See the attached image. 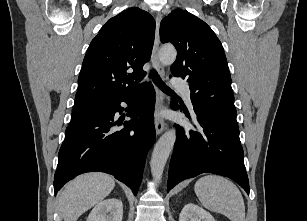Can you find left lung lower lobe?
Returning a JSON list of instances; mask_svg holds the SVG:
<instances>
[{
	"label": "left lung lower lobe",
	"instance_id": "left-lung-lower-lobe-1",
	"mask_svg": "<svg viewBox=\"0 0 307 221\" xmlns=\"http://www.w3.org/2000/svg\"><path fill=\"white\" fill-rule=\"evenodd\" d=\"M171 108L178 109L174 98ZM193 108L197 115L195 127L198 131L177 127L167 192L184 179L201 173H213L231 178L249 194L238 125L202 107Z\"/></svg>",
	"mask_w": 307,
	"mask_h": 221
}]
</instances>
